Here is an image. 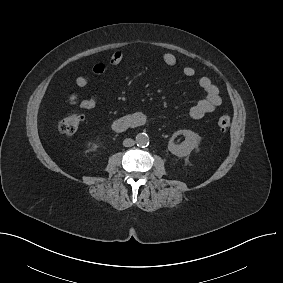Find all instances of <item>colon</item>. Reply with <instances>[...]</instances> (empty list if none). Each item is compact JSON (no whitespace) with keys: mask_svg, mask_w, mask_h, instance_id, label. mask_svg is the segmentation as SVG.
Masks as SVG:
<instances>
[{"mask_svg":"<svg viewBox=\"0 0 283 283\" xmlns=\"http://www.w3.org/2000/svg\"><path fill=\"white\" fill-rule=\"evenodd\" d=\"M82 121V116L77 113H72L61 117L58 120V129L65 134L74 133ZM231 124V117L228 114H223L218 119V125L221 129H227Z\"/></svg>","mask_w":283,"mask_h":283,"instance_id":"colon-1","label":"colon"}]
</instances>
